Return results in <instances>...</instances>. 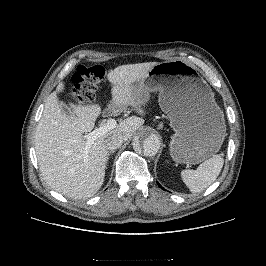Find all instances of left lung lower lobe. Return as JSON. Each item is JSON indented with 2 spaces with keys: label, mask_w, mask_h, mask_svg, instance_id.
<instances>
[{
  "label": "left lung lower lobe",
  "mask_w": 266,
  "mask_h": 266,
  "mask_svg": "<svg viewBox=\"0 0 266 266\" xmlns=\"http://www.w3.org/2000/svg\"><path fill=\"white\" fill-rule=\"evenodd\" d=\"M158 185H159V183H158ZM159 187H161V185H159ZM163 190H164V188H163Z\"/></svg>",
  "instance_id": "1"
}]
</instances>
